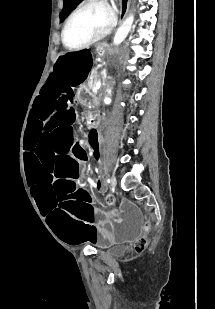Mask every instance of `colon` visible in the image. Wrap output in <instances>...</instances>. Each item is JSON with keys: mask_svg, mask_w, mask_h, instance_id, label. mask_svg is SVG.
Here are the masks:
<instances>
[{"mask_svg": "<svg viewBox=\"0 0 215 309\" xmlns=\"http://www.w3.org/2000/svg\"><path fill=\"white\" fill-rule=\"evenodd\" d=\"M107 200H108L109 203H112L114 201V199L112 197H108ZM136 248H137V250H140V251L144 250L146 248V239L142 238L140 241H138L136 243Z\"/></svg>", "mask_w": 215, "mask_h": 309, "instance_id": "5ec220e1", "label": "colon"}]
</instances>
